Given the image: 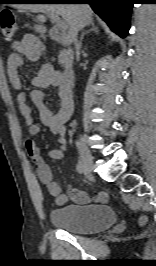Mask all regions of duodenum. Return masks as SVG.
Masks as SVG:
<instances>
[{
	"label": "duodenum",
	"mask_w": 156,
	"mask_h": 266,
	"mask_svg": "<svg viewBox=\"0 0 156 266\" xmlns=\"http://www.w3.org/2000/svg\"><path fill=\"white\" fill-rule=\"evenodd\" d=\"M49 38L53 41H57L63 45H67L69 43L68 38L59 30L50 28L48 30ZM74 82V73L72 68L67 67L61 74V84L65 90L71 91Z\"/></svg>",
	"instance_id": "1"
}]
</instances>
